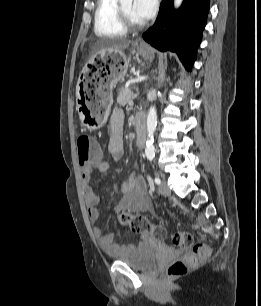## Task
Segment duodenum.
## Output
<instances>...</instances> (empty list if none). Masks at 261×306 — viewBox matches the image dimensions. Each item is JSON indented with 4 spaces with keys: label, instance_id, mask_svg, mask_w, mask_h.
I'll list each match as a JSON object with an SVG mask.
<instances>
[{
    "label": "duodenum",
    "instance_id": "1",
    "mask_svg": "<svg viewBox=\"0 0 261 306\" xmlns=\"http://www.w3.org/2000/svg\"><path fill=\"white\" fill-rule=\"evenodd\" d=\"M134 127L137 132V145H142L145 140L146 133V117L144 114H138L133 120Z\"/></svg>",
    "mask_w": 261,
    "mask_h": 306
}]
</instances>
